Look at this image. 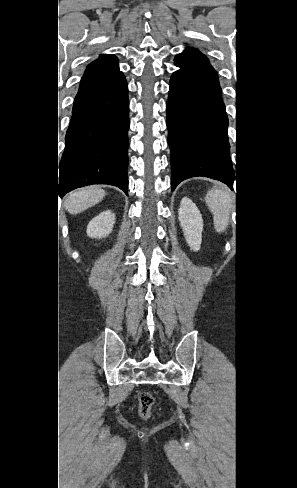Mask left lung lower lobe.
I'll return each mask as SVG.
<instances>
[{
  "instance_id": "1",
  "label": "left lung lower lobe",
  "mask_w": 297,
  "mask_h": 488,
  "mask_svg": "<svg viewBox=\"0 0 297 488\" xmlns=\"http://www.w3.org/2000/svg\"><path fill=\"white\" fill-rule=\"evenodd\" d=\"M169 86L166 108L172 190L196 176L219 180L232 189L235 172L222 97L180 72L172 74Z\"/></svg>"
}]
</instances>
